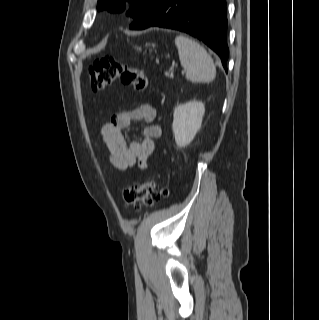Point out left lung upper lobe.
Masks as SVG:
<instances>
[{
  "label": "left lung upper lobe",
  "instance_id": "1",
  "mask_svg": "<svg viewBox=\"0 0 319 320\" xmlns=\"http://www.w3.org/2000/svg\"><path fill=\"white\" fill-rule=\"evenodd\" d=\"M126 1L131 2L127 15L135 20L149 11L158 0H98L97 9H107L111 12H121L125 9Z\"/></svg>",
  "mask_w": 319,
  "mask_h": 320
}]
</instances>
